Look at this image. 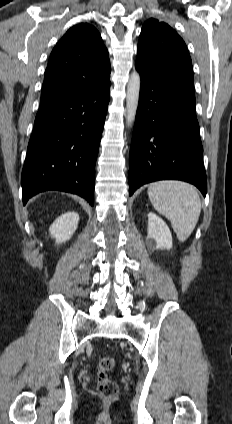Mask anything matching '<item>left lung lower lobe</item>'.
Masks as SVG:
<instances>
[{
    "mask_svg": "<svg viewBox=\"0 0 232 424\" xmlns=\"http://www.w3.org/2000/svg\"><path fill=\"white\" fill-rule=\"evenodd\" d=\"M193 80L141 78L132 135L129 195L143 184L176 179L205 196L207 180Z\"/></svg>",
    "mask_w": 232,
    "mask_h": 424,
    "instance_id": "obj_1",
    "label": "left lung lower lobe"
}]
</instances>
